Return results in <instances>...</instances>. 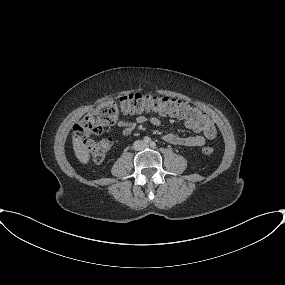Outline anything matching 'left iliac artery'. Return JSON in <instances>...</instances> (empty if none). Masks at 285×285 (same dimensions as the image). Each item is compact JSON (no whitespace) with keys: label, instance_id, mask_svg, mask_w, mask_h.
Masks as SVG:
<instances>
[{"label":"left iliac artery","instance_id":"left-iliac-artery-1","mask_svg":"<svg viewBox=\"0 0 285 285\" xmlns=\"http://www.w3.org/2000/svg\"><path fill=\"white\" fill-rule=\"evenodd\" d=\"M150 146H151L152 148H154V147L156 146V143L152 141V142L150 143Z\"/></svg>","mask_w":285,"mask_h":285}]
</instances>
